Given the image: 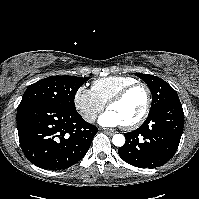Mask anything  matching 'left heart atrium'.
<instances>
[{
	"instance_id": "obj_1",
	"label": "left heart atrium",
	"mask_w": 199,
	"mask_h": 199,
	"mask_svg": "<svg viewBox=\"0 0 199 199\" xmlns=\"http://www.w3.org/2000/svg\"><path fill=\"white\" fill-rule=\"evenodd\" d=\"M99 124L106 127L123 125L120 118L112 111L108 110L99 117Z\"/></svg>"
}]
</instances>
